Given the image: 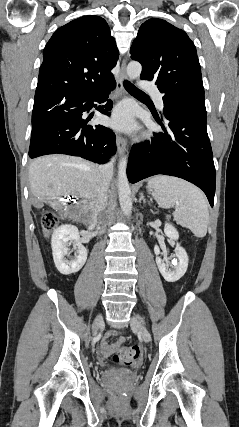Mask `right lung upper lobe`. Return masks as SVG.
Returning a JSON list of instances; mask_svg holds the SVG:
<instances>
[{
  "instance_id": "1",
  "label": "right lung upper lobe",
  "mask_w": 239,
  "mask_h": 427,
  "mask_svg": "<svg viewBox=\"0 0 239 427\" xmlns=\"http://www.w3.org/2000/svg\"><path fill=\"white\" fill-rule=\"evenodd\" d=\"M43 57L35 100L105 86L114 78L118 50L103 18L83 16L52 35Z\"/></svg>"
}]
</instances>
